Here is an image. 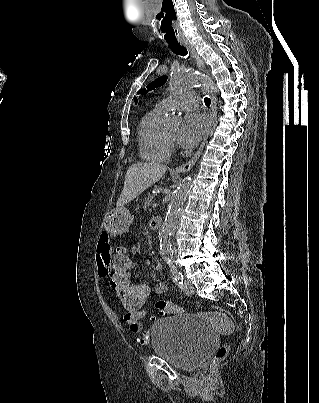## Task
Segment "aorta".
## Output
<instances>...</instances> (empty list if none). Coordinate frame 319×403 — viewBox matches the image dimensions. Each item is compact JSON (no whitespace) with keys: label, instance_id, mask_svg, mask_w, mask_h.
<instances>
[{"label":"aorta","instance_id":"aorta-1","mask_svg":"<svg viewBox=\"0 0 319 403\" xmlns=\"http://www.w3.org/2000/svg\"><path fill=\"white\" fill-rule=\"evenodd\" d=\"M169 85L172 91L182 90L194 86H207L214 93L218 92V88L211 78L195 73H185L179 69L172 71ZM172 118L175 119L176 117ZM191 187L192 179L190 176H188L183 179L180 186L174 191L168 206L167 215L159 232L160 254L167 259H169L172 255L171 237L176 229L181 206L186 200Z\"/></svg>","mask_w":319,"mask_h":403}]
</instances>
